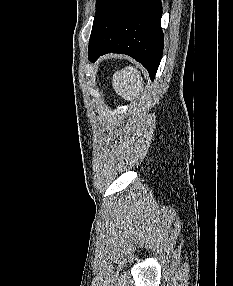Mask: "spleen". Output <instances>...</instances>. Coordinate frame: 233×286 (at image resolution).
I'll use <instances>...</instances> for the list:
<instances>
[{
    "mask_svg": "<svg viewBox=\"0 0 233 286\" xmlns=\"http://www.w3.org/2000/svg\"><path fill=\"white\" fill-rule=\"evenodd\" d=\"M112 85L116 93L127 101L140 98L143 79L137 67L127 66L113 75Z\"/></svg>",
    "mask_w": 233,
    "mask_h": 286,
    "instance_id": "1",
    "label": "spleen"
}]
</instances>
